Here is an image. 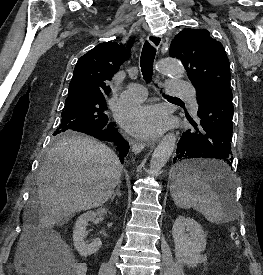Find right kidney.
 I'll return each mask as SVG.
<instances>
[{"label": "right kidney", "instance_id": "ca27d5eb", "mask_svg": "<svg viewBox=\"0 0 263 275\" xmlns=\"http://www.w3.org/2000/svg\"><path fill=\"white\" fill-rule=\"evenodd\" d=\"M105 214H107V209L100 208L96 212H86L78 217L73 231V241L75 248L81 256H90L100 249L102 242L99 238L94 239L90 244H86L84 238L88 223L95 220L97 216Z\"/></svg>", "mask_w": 263, "mask_h": 275}]
</instances>
